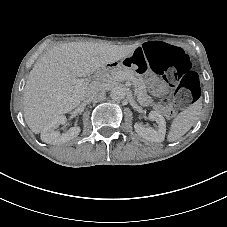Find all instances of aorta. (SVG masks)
I'll return each instance as SVG.
<instances>
[{"label":"aorta","instance_id":"obj_1","mask_svg":"<svg viewBox=\"0 0 227 227\" xmlns=\"http://www.w3.org/2000/svg\"><path fill=\"white\" fill-rule=\"evenodd\" d=\"M125 96H126V88L122 85H117V86L113 87L110 92V97L114 101H120V100L124 99Z\"/></svg>","mask_w":227,"mask_h":227}]
</instances>
